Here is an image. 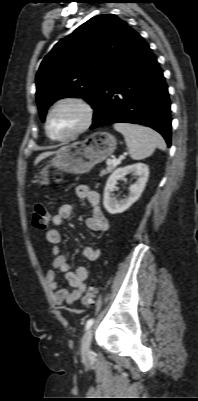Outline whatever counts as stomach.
<instances>
[{"mask_svg":"<svg viewBox=\"0 0 198 401\" xmlns=\"http://www.w3.org/2000/svg\"><path fill=\"white\" fill-rule=\"evenodd\" d=\"M116 138L105 131H98L80 142L64 146L45 166L39 176L40 185L49 184L50 169L72 174H83L104 161L116 149Z\"/></svg>","mask_w":198,"mask_h":401,"instance_id":"stomach-1","label":"stomach"}]
</instances>
